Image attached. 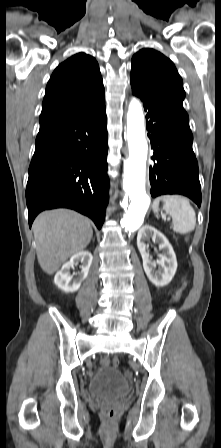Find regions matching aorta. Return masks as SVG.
Listing matches in <instances>:
<instances>
[{
  "label": "aorta",
  "instance_id": "762f6f07",
  "mask_svg": "<svg viewBox=\"0 0 221 448\" xmlns=\"http://www.w3.org/2000/svg\"><path fill=\"white\" fill-rule=\"evenodd\" d=\"M129 157L124 163L123 189L131 203L121 221L126 231L138 229L150 204L145 189V170L148 145L145 138L144 115L138 99L132 98L127 113Z\"/></svg>",
  "mask_w": 221,
  "mask_h": 448
}]
</instances>
